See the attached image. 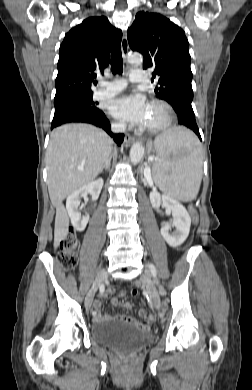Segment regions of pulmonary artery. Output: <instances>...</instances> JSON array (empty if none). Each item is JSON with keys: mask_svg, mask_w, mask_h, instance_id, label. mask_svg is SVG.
<instances>
[{"mask_svg": "<svg viewBox=\"0 0 252 390\" xmlns=\"http://www.w3.org/2000/svg\"><path fill=\"white\" fill-rule=\"evenodd\" d=\"M129 80L131 82H142L145 80V72L141 69H134L129 73ZM127 85L126 80L117 79L113 82H100V87L94 93L95 99H102L111 97L123 90Z\"/></svg>", "mask_w": 252, "mask_h": 390, "instance_id": "pulmonary-artery-1", "label": "pulmonary artery"}]
</instances>
